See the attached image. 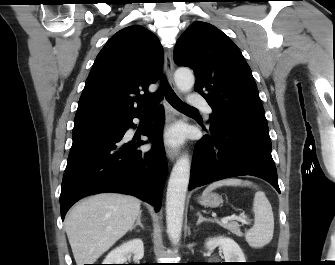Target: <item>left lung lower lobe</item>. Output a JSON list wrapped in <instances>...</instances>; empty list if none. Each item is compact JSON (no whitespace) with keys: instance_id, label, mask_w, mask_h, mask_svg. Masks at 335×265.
Wrapping results in <instances>:
<instances>
[{"instance_id":"left-lung-lower-lobe-1","label":"left lung lower lobe","mask_w":335,"mask_h":265,"mask_svg":"<svg viewBox=\"0 0 335 265\" xmlns=\"http://www.w3.org/2000/svg\"><path fill=\"white\" fill-rule=\"evenodd\" d=\"M207 132L195 146L190 190L225 178L252 175L266 180L280 193L270 137L221 121Z\"/></svg>"}]
</instances>
